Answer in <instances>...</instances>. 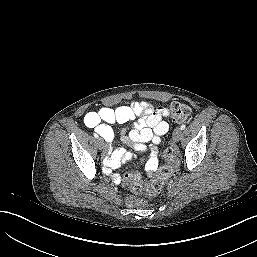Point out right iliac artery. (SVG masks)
<instances>
[{
    "label": "right iliac artery",
    "mask_w": 257,
    "mask_h": 257,
    "mask_svg": "<svg viewBox=\"0 0 257 257\" xmlns=\"http://www.w3.org/2000/svg\"><path fill=\"white\" fill-rule=\"evenodd\" d=\"M94 137H95V138H98L99 136H98V134L94 133Z\"/></svg>",
    "instance_id": "obj_1"
}]
</instances>
